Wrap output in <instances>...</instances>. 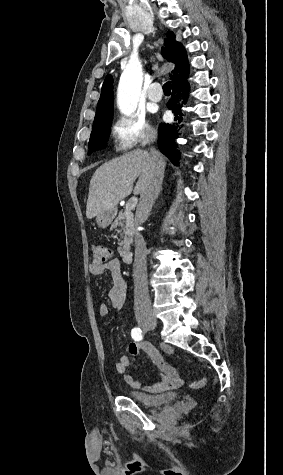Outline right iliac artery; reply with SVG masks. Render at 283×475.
I'll use <instances>...</instances> for the list:
<instances>
[{
	"label": "right iliac artery",
	"instance_id": "right-iliac-artery-1",
	"mask_svg": "<svg viewBox=\"0 0 283 475\" xmlns=\"http://www.w3.org/2000/svg\"><path fill=\"white\" fill-rule=\"evenodd\" d=\"M131 336L135 341L142 340V331L140 328H134L131 331Z\"/></svg>",
	"mask_w": 283,
	"mask_h": 475
}]
</instances>
